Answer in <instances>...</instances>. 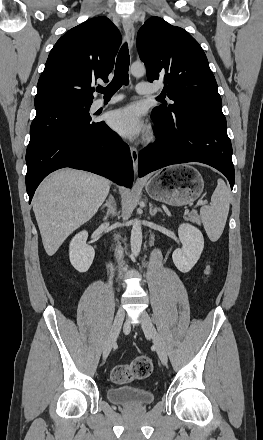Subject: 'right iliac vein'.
<instances>
[{
	"instance_id": "right-iliac-vein-1",
	"label": "right iliac vein",
	"mask_w": 263,
	"mask_h": 440,
	"mask_svg": "<svg viewBox=\"0 0 263 440\" xmlns=\"http://www.w3.org/2000/svg\"><path fill=\"white\" fill-rule=\"evenodd\" d=\"M124 317H125V311L122 307H120L116 312L113 325L110 329V332L107 336L106 342L103 347L102 356H103L104 360L108 357L112 348L115 345L116 339H117L119 332L121 330V327H122Z\"/></svg>"
}]
</instances>
